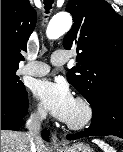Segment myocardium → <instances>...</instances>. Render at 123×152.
Instances as JSON below:
<instances>
[{
  "label": "myocardium",
  "mask_w": 123,
  "mask_h": 152,
  "mask_svg": "<svg viewBox=\"0 0 123 152\" xmlns=\"http://www.w3.org/2000/svg\"><path fill=\"white\" fill-rule=\"evenodd\" d=\"M75 103L82 110V116L78 120H67L66 125L71 130H83L87 128L94 119V109L92 104L84 97H77Z\"/></svg>",
  "instance_id": "f54148a6"
}]
</instances>
